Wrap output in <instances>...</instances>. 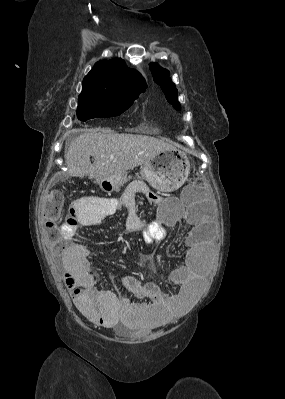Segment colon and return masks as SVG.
Returning <instances> with one entry per match:
<instances>
[{
	"mask_svg": "<svg viewBox=\"0 0 285 399\" xmlns=\"http://www.w3.org/2000/svg\"><path fill=\"white\" fill-rule=\"evenodd\" d=\"M205 186V182L201 176H197L193 181L190 182L189 188L186 190V195L193 197L197 191ZM151 203H156L158 197L152 194L149 197ZM65 202L64 193L58 188H52L46 195L43 205L42 214L45 219V229L47 235L52 244L58 245L62 242H66L68 237L62 233L60 226L57 221L60 220L63 214ZM72 237H75L74 235ZM87 306L96 307V303L92 300L88 301Z\"/></svg>",
	"mask_w": 285,
	"mask_h": 399,
	"instance_id": "5ec220e1",
	"label": "colon"
}]
</instances>
